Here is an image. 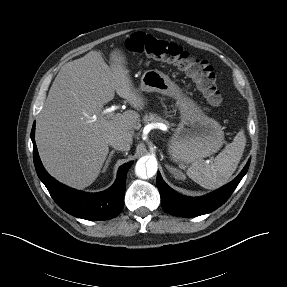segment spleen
<instances>
[{
  "mask_svg": "<svg viewBox=\"0 0 287 287\" xmlns=\"http://www.w3.org/2000/svg\"><path fill=\"white\" fill-rule=\"evenodd\" d=\"M246 146L244 130H240L232 143L226 145L214 163L203 160L195 161L187 170V175L194 182L206 189H216L225 185L236 170Z\"/></svg>",
  "mask_w": 287,
  "mask_h": 287,
  "instance_id": "1",
  "label": "spleen"
}]
</instances>
